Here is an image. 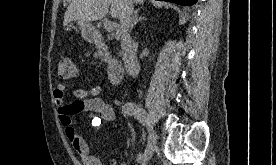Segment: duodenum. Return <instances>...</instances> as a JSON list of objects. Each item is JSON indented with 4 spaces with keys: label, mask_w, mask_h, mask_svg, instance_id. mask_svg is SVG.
Masks as SVG:
<instances>
[{
    "label": "duodenum",
    "mask_w": 276,
    "mask_h": 165,
    "mask_svg": "<svg viewBox=\"0 0 276 165\" xmlns=\"http://www.w3.org/2000/svg\"><path fill=\"white\" fill-rule=\"evenodd\" d=\"M94 44L99 47H105L103 38L100 34H94L91 37ZM124 65L120 58L113 57L108 62V76L112 84H118L124 75Z\"/></svg>",
    "instance_id": "obj_1"
}]
</instances>
